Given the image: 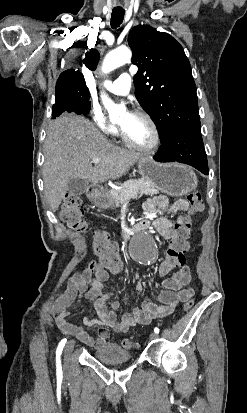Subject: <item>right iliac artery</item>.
<instances>
[{
  "label": "right iliac artery",
  "instance_id": "1",
  "mask_svg": "<svg viewBox=\"0 0 247 413\" xmlns=\"http://www.w3.org/2000/svg\"><path fill=\"white\" fill-rule=\"evenodd\" d=\"M67 342V339L64 338L61 340V342L59 343L57 350H56V367H57V377L61 378L62 376V367H61V360H60V356L62 354V350L65 346Z\"/></svg>",
  "mask_w": 247,
  "mask_h": 413
}]
</instances>
